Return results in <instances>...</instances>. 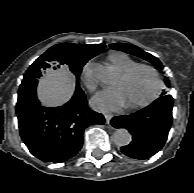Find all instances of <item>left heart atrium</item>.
Listing matches in <instances>:
<instances>
[{"label": "left heart atrium", "instance_id": "left-heart-atrium-1", "mask_svg": "<svg viewBox=\"0 0 194 193\" xmlns=\"http://www.w3.org/2000/svg\"><path fill=\"white\" fill-rule=\"evenodd\" d=\"M92 104L94 108L103 112L118 111L126 106L122 91L117 88L102 91L93 98Z\"/></svg>", "mask_w": 194, "mask_h": 193}]
</instances>
